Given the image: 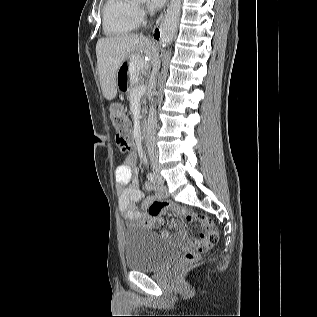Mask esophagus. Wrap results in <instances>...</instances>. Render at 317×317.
<instances>
[{
	"mask_svg": "<svg viewBox=\"0 0 317 317\" xmlns=\"http://www.w3.org/2000/svg\"><path fill=\"white\" fill-rule=\"evenodd\" d=\"M158 24H159V21H158ZM152 36H153L156 40H163V38H162V31H161V29L158 27V25L153 29Z\"/></svg>",
	"mask_w": 317,
	"mask_h": 317,
	"instance_id": "obj_1",
	"label": "esophagus"
}]
</instances>
